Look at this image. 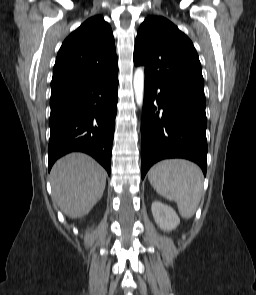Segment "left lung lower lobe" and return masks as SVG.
Segmentation results:
<instances>
[{
  "instance_id": "left-lung-lower-lobe-1",
  "label": "left lung lower lobe",
  "mask_w": 256,
  "mask_h": 295,
  "mask_svg": "<svg viewBox=\"0 0 256 295\" xmlns=\"http://www.w3.org/2000/svg\"><path fill=\"white\" fill-rule=\"evenodd\" d=\"M157 89H160L158 94ZM205 107L206 102L171 92L145 76L141 122L142 179L154 163L168 158L194 161L206 175Z\"/></svg>"
}]
</instances>
